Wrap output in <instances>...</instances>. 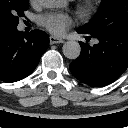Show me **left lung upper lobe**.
<instances>
[{
	"mask_svg": "<svg viewBox=\"0 0 128 128\" xmlns=\"http://www.w3.org/2000/svg\"><path fill=\"white\" fill-rule=\"evenodd\" d=\"M82 29L100 35L128 30V0H102L97 15Z\"/></svg>",
	"mask_w": 128,
	"mask_h": 128,
	"instance_id": "1",
	"label": "left lung upper lobe"
}]
</instances>
